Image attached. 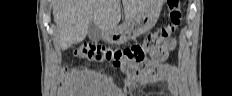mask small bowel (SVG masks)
<instances>
[{
  "label": "small bowel",
  "mask_w": 232,
  "mask_h": 96,
  "mask_svg": "<svg viewBox=\"0 0 232 96\" xmlns=\"http://www.w3.org/2000/svg\"><path fill=\"white\" fill-rule=\"evenodd\" d=\"M175 46L176 42L174 40H170L165 44V48L169 51L173 50ZM126 84L131 87L132 96H137L136 92L140 87L155 84L164 85L167 93L172 96H177L180 92L177 70L168 65L160 66L157 73L147 72L128 77Z\"/></svg>",
  "instance_id": "small-bowel-1"
}]
</instances>
